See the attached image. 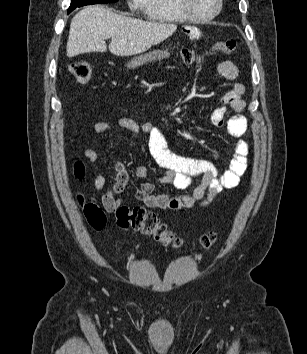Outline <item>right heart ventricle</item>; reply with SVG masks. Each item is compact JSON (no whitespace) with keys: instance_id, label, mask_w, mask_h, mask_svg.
Instances as JSON below:
<instances>
[{"instance_id":"right-heart-ventricle-1","label":"right heart ventricle","mask_w":307,"mask_h":354,"mask_svg":"<svg viewBox=\"0 0 307 354\" xmlns=\"http://www.w3.org/2000/svg\"><path fill=\"white\" fill-rule=\"evenodd\" d=\"M142 9L147 18L165 23H181L188 20L180 11L177 0H145Z\"/></svg>"}]
</instances>
